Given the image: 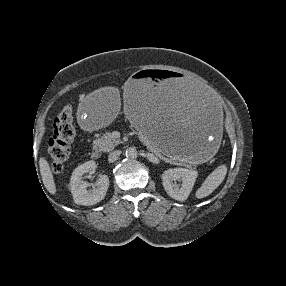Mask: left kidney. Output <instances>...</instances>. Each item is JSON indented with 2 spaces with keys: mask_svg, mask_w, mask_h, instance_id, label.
<instances>
[{
  "mask_svg": "<svg viewBox=\"0 0 286 286\" xmlns=\"http://www.w3.org/2000/svg\"><path fill=\"white\" fill-rule=\"evenodd\" d=\"M197 175L198 173L191 169H168L162 174L163 187L170 197L177 201H184L192 191ZM176 181H181V185Z\"/></svg>",
  "mask_w": 286,
  "mask_h": 286,
  "instance_id": "1",
  "label": "left kidney"
}]
</instances>
